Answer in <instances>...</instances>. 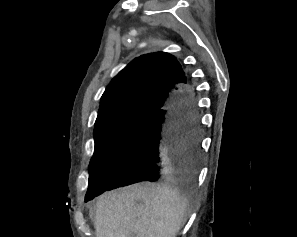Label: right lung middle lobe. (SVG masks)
Instances as JSON below:
<instances>
[{"label": "right lung middle lobe", "mask_w": 297, "mask_h": 237, "mask_svg": "<svg viewBox=\"0 0 297 237\" xmlns=\"http://www.w3.org/2000/svg\"><path fill=\"white\" fill-rule=\"evenodd\" d=\"M150 114L115 118L94 129L95 149L89 164L85 199L110 186L116 170L145 128Z\"/></svg>", "instance_id": "right-lung-middle-lobe-1"}]
</instances>
